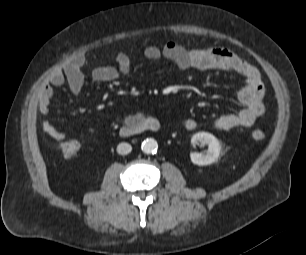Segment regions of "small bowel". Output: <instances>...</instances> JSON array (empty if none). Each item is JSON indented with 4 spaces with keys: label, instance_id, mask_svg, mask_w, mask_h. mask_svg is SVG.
<instances>
[{
    "label": "small bowel",
    "instance_id": "c3829d8e",
    "mask_svg": "<svg viewBox=\"0 0 306 255\" xmlns=\"http://www.w3.org/2000/svg\"><path fill=\"white\" fill-rule=\"evenodd\" d=\"M144 57L153 62L163 59L173 62L182 71L219 70L233 73L244 78V84L237 93V99L243 106L237 112L220 115L212 121V126L218 130H231L237 127L248 128L264 113V87L258 70L224 47L209 46L204 48L187 49L177 42H168L162 48L150 45L144 49ZM85 57L77 55L70 59L62 69L53 72L47 83L42 86L37 103L41 114L49 112L53 88L68 85L74 96H79L84 86V73L82 68ZM131 58L124 52L115 56L114 65L96 66L91 71L92 78L97 82H110L126 76L131 70ZM141 114L132 118H139ZM181 126L187 131H194L202 127L196 119H185ZM43 131L55 140H63L65 133L58 130L51 122L42 123Z\"/></svg>",
    "mask_w": 306,
    "mask_h": 255
}]
</instances>
